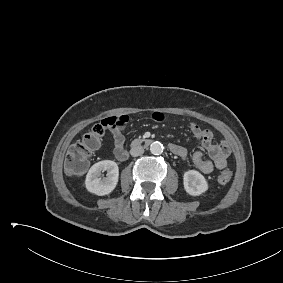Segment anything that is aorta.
<instances>
[{
  "instance_id": "762f6f07",
  "label": "aorta",
  "mask_w": 283,
  "mask_h": 283,
  "mask_svg": "<svg viewBox=\"0 0 283 283\" xmlns=\"http://www.w3.org/2000/svg\"><path fill=\"white\" fill-rule=\"evenodd\" d=\"M150 151L154 155H160L163 152V145L160 142H153L150 145Z\"/></svg>"
}]
</instances>
